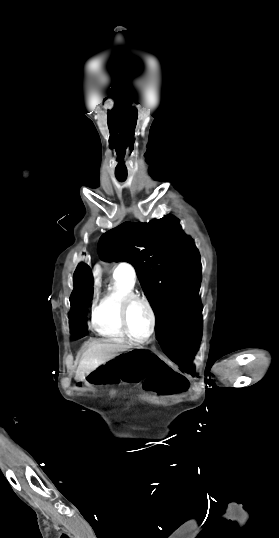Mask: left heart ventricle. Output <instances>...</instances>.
I'll list each match as a JSON object with an SVG mask.
<instances>
[{
	"label": "left heart ventricle",
	"instance_id": "obj_1",
	"mask_svg": "<svg viewBox=\"0 0 279 538\" xmlns=\"http://www.w3.org/2000/svg\"><path fill=\"white\" fill-rule=\"evenodd\" d=\"M105 211H113L116 207H97ZM98 222H105L99 218ZM89 226V225H88ZM89 228V227H88ZM128 324L131 333L139 339L147 337L151 328V318L148 309L142 303H134L128 311Z\"/></svg>",
	"mask_w": 279,
	"mask_h": 538
}]
</instances>
